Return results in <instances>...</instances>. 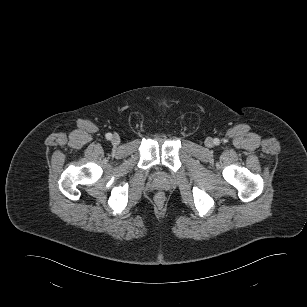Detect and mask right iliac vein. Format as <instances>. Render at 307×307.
<instances>
[{
  "label": "right iliac vein",
  "mask_w": 307,
  "mask_h": 307,
  "mask_svg": "<svg viewBox=\"0 0 307 307\" xmlns=\"http://www.w3.org/2000/svg\"><path fill=\"white\" fill-rule=\"evenodd\" d=\"M119 143H120V138H119V136L114 135V136L112 137V144H113V145H118Z\"/></svg>",
  "instance_id": "63e3f726"
}]
</instances>
